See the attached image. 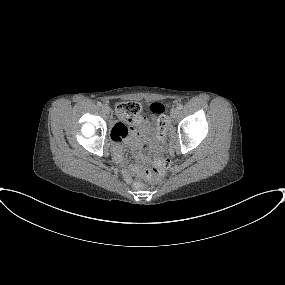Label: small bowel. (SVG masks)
Wrapping results in <instances>:
<instances>
[{"label": "small bowel", "instance_id": "obj_1", "mask_svg": "<svg viewBox=\"0 0 285 285\" xmlns=\"http://www.w3.org/2000/svg\"><path fill=\"white\" fill-rule=\"evenodd\" d=\"M151 132V121L145 116H141L130 127L125 122L116 123L111 132V152L114 159L119 164H125L122 156L124 145L137 150L148 141ZM122 174L127 182L132 181L133 174L128 170L123 168Z\"/></svg>", "mask_w": 285, "mask_h": 285}]
</instances>
